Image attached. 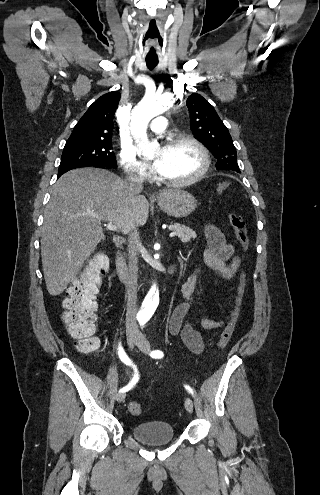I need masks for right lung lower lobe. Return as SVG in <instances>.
<instances>
[{"mask_svg":"<svg viewBox=\"0 0 320 495\" xmlns=\"http://www.w3.org/2000/svg\"><path fill=\"white\" fill-rule=\"evenodd\" d=\"M96 167H100V168H106V167H103V166H96ZM61 175L59 174L58 177H60Z\"/></svg>","mask_w":320,"mask_h":495,"instance_id":"right-lung-lower-lobe-1","label":"right lung lower lobe"}]
</instances>
